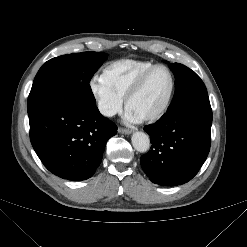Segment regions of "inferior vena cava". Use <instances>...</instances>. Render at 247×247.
Masks as SVG:
<instances>
[{
    "label": "inferior vena cava",
    "mask_w": 247,
    "mask_h": 247,
    "mask_svg": "<svg viewBox=\"0 0 247 247\" xmlns=\"http://www.w3.org/2000/svg\"><path fill=\"white\" fill-rule=\"evenodd\" d=\"M99 110L104 116L107 117H111L116 114V111L113 108L104 103L99 104Z\"/></svg>",
    "instance_id": "1"
}]
</instances>
